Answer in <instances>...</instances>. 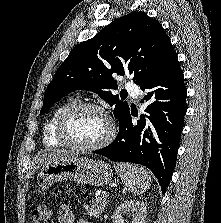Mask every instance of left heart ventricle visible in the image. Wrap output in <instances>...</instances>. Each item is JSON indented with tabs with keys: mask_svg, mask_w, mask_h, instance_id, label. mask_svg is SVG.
<instances>
[{
	"mask_svg": "<svg viewBox=\"0 0 221 223\" xmlns=\"http://www.w3.org/2000/svg\"><path fill=\"white\" fill-rule=\"evenodd\" d=\"M108 130L105 116L91 109L76 112L66 125L67 137L81 145L96 144L106 136Z\"/></svg>",
	"mask_w": 221,
	"mask_h": 223,
	"instance_id": "1",
	"label": "left heart ventricle"
}]
</instances>
